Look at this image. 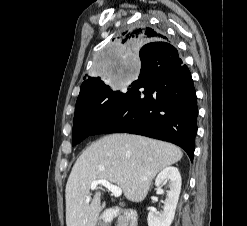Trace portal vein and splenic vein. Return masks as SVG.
Wrapping results in <instances>:
<instances>
[{
  "mask_svg": "<svg viewBox=\"0 0 247 226\" xmlns=\"http://www.w3.org/2000/svg\"><path fill=\"white\" fill-rule=\"evenodd\" d=\"M98 185H102L103 187L111 191L114 197H120L122 195V189L120 187H117L116 185H113L109 181L103 179L93 181L90 186L91 190H94Z\"/></svg>",
  "mask_w": 247,
  "mask_h": 226,
  "instance_id": "obj_1",
  "label": "portal vein and splenic vein"
}]
</instances>
